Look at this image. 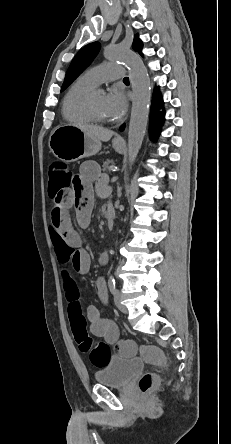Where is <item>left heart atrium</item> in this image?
Instances as JSON below:
<instances>
[{
    "label": "left heart atrium",
    "mask_w": 231,
    "mask_h": 444,
    "mask_svg": "<svg viewBox=\"0 0 231 444\" xmlns=\"http://www.w3.org/2000/svg\"><path fill=\"white\" fill-rule=\"evenodd\" d=\"M105 104L109 115L118 118L127 108V99L122 90L113 89L106 95Z\"/></svg>",
    "instance_id": "obj_1"
}]
</instances>
